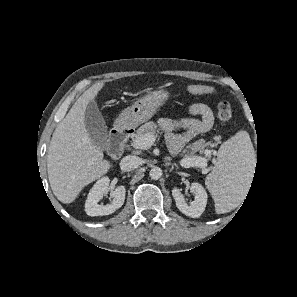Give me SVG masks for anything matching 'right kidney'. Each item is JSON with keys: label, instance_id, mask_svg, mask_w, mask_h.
<instances>
[{"label": "right kidney", "instance_id": "right-kidney-1", "mask_svg": "<svg viewBox=\"0 0 297 297\" xmlns=\"http://www.w3.org/2000/svg\"><path fill=\"white\" fill-rule=\"evenodd\" d=\"M110 179L108 177H102L99 179L92 189L90 190L86 203L85 211L89 216H105L114 213L119 209L125 200V187L118 186L111 191V197L113 198L110 204L99 205L98 202L109 190Z\"/></svg>", "mask_w": 297, "mask_h": 297}]
</instances>
